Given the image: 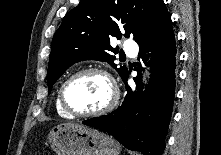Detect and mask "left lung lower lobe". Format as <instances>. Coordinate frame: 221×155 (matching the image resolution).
<instances>
[{
  "label": "left lung lower lobe",
  "instance_id": "obj_1",
  "mask_svg": "<svg viewBox=\"0 0 221 155\" xmlns=\"http://www.w3.org/2000/svg\"><path fill=\"white\" fill-rule=\"evenodd\" d=\"M139 58L146 62L152 52L151 79L143 91L138 75L137 86H127L129 72L123 78L127 94L123 104L112 113L82 123L105 131L132 151L144 155H162L171 119L175 91L176 47L171 17L162 3L148 20L136 40Z\"/></svg>",
  "mask_w": 221,
  "mask_h": 155
}]
</instances>
